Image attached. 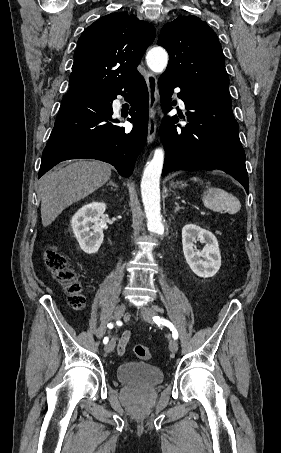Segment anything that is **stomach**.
<instances>
[{
    "instance_id": "obj_1",
    "label": "stomach",
    "mask_w": 281,
    "mask_h": 453,
    "mask_svg": "<svg viewBox=\"0 0 281 453\" xmlns=\"http://www.w3.org/2000/svg\"><path fill=\"white\" fill-rule=\"evenodd\" d=\"M178 184H181V186H186V184H183V182H171V186H178Z\"/></svg>"
}]
</instances>
